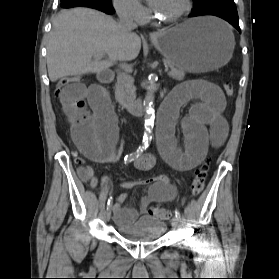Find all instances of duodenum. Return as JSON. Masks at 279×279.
<instances>
[{
  "instance_id": "410a0bca",
  "label": "duodenum",
  "mask_w": 279,
  "mask_h": 279,
  "mask_svg": "<svg viewBox=\"0 0 279 279\" xmlns=\"http://www.w3.org/2000/svg\"><path fill=\"white\" fill-rule=\"evenodd\" d=\"M96 77L101 82H109L112 80L113 74L110 71H102L96 73ZM121 105L127 112L134 116H142L146 112V108L140 98L131 101H123Z\"/></svg>"
}]
</instances>
